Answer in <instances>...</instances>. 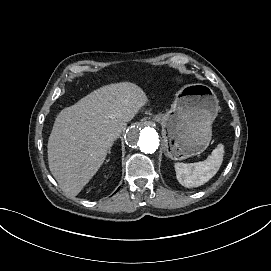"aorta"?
<instances>
[{"instance_id":"1","label":"aorta","mask_w":271,"mask_h":271,"mask_svg":"<svg viewBox=\"0 0 271 271\" xmlns=\"http://www.w3.org/2000/svg\"><path fill=\"white\" fill-rule=\"evenodd\" d=\"M125 140L129 147L145 154L154 153L158 149L160 141L156 130L141 122L129 128Z\"/></svg>"}]
</instances>
